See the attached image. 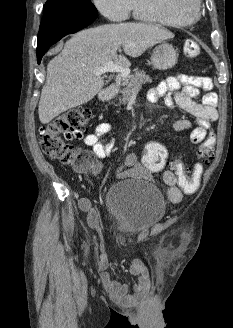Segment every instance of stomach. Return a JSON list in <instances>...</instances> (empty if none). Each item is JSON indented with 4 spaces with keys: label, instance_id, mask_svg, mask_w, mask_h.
Wrapping results in <instances>:
<instances>
[{
    "label": "stomach",
    "instance_id": "stomach-1",
    "mask_svg": "<svg viewBox=\"0 0 233 328\" xmlns=\"http://www.w3.org/2000/svg\"><path fill=\"white\" fill-rule=\"evenodd\" d=\"M177 59L178 54L175 48L164 41L155 46L150 56L152 65L159 70H167L174 67Z\"/></svg>",
    "mask_w": 233,
    "mask_h": 328
}]
</instances>
